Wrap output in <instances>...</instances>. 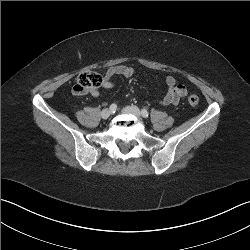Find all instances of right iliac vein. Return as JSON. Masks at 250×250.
I'll use <instances>...</instances> for the list:
<instances>
[{
	"label": "right iliac vein",
	"mask_w": 250,
	"mask_h": 250,
	"mask_svg": "<svg viewBox=\"0 0 250 250\" xmlns=\"http://www.w3.org/2000/svg\"><path fill=\"white\" fill-rule=\"evenodd\" d=\"M111 115V111L110 109H104L102 112H101V117L103 119H108Z\"/></svg>",
	"instance_id": "obj_1"
}]
</instances>
